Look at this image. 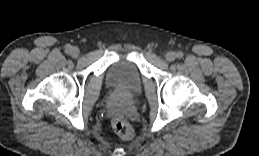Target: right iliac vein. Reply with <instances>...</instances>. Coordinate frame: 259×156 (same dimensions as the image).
<instances>
[{"mask_svg": "<svg viewBox=\"0 0 259 156\" xmlns=\"http://www.w3.org/2000/svg\"><path fill=\"white\" fill-rule=\"evenodd\" d=\"M70 54H71L73 57H77V56L80 54L79 48H77V47H72L71 50H70Z\"/></svg>", "mask_w": 259, "mask_h": 156, "instance_id": "63e3f726", "label": "right iliac vein"}]
</instances>
